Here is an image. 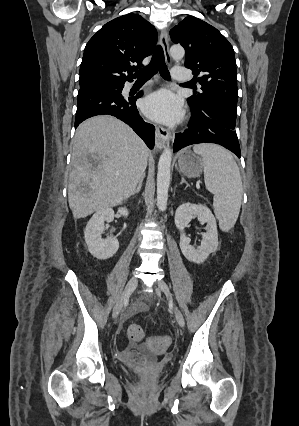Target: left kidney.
I'll return each mask as SVG.
<instances>
[{
	"instance_id": "5707ae66",
	"label": "left kidney",
	"mask_w": 299,
	"mask_h": 426,
	"mask_svg": "<svg viewBox=\"0 0 299 426\" xmlns=\"http://www.w3.org/2000/svg\"><path fill=\"white\" fill-rule=\"evenodd\" d=\"M196 216L199 221L206 223V232L202 234L203 240L198 248L190 245V238L186 236L184 228ZM175 225L179 229L180 249L187 260L194 263H203L208 256L218 248L217 224L211 210L202 204L184 203L175 213Z\"/></svg>"
}]
</instances>
